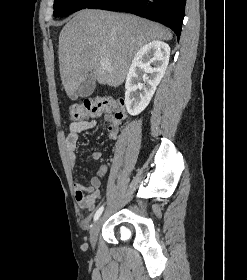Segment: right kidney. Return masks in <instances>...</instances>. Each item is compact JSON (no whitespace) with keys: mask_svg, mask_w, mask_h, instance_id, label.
<instances>
[{"mask_svg":"<svg viewBox=\"0 0 247 280\" xmlns=\"http://www.w3.org/2000/svg\"><path fill=\"white\" fill-rule=\"evenodd\" d=\"M169 57V45L159 40L147 43L135 54L125 83V104L130 115H138L148 106L165 74Z\"/></svg>","mask_w":247,"mask_h":280,"instance_id":"right-kidney-1","label":"right kidney"}]
</instances>
